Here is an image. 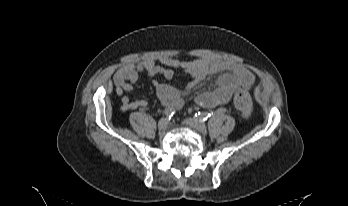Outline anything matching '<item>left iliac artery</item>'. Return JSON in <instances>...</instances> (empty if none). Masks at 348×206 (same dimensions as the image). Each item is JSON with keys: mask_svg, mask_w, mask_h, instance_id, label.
Segmentation results:
<instances>
[{"mask_svg": "<svg viewBox=\"0 0 348 206\" xmlns=\"http://www.w3.org/2000/svg\"><path fill=\"white\" fill-rule=\"evenodd\" d=\"M219 114L221 116H224L226 114V108L223 109H219V113H216V116H219ZM214 113H208V112H198L195 113V117L202 120V121H206L207 119H209L210 117H213Z\"/></svg>", "mask_w": 348, "mask_h": 206, "instance_id": "left-iliac-artery-1", "label": "left iliac artery"}]
</instances>
